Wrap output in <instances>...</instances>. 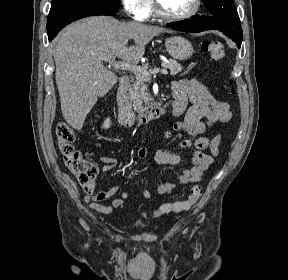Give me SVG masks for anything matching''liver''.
Here are the masks:
<instances>
[{"label": "liver", "instance_id": "1", "mask_svg": "<svg viewBox=\"0 0 288 280\" xmlns=\"http://www.w3.org/2000/svg\"><path fill=\"white\" fill-rule=\"evenodd\" d=\"M165 31L109 16L88 17L69 25L53 51L61 110L67 123L80 130L98 98L117 83V75L104 66V57L137 64L145 45ZM129 39L134 40L133 46H127Z\"/></svg>", "mask_w": 288, "mask_h": 280}]
</instances>
